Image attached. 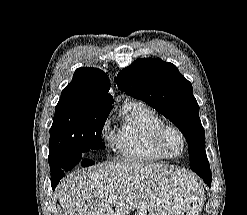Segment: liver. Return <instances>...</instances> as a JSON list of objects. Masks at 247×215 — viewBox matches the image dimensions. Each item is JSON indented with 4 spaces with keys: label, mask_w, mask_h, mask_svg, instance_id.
I'll return each instance as SVG.
<instances>
[{
    "label": "liver",
    "mask_w": 247,
    "mask_h": 215,
    "mask_svg": "<svg viewBox=\"0 0 247 215\" xmlns=\"http://www.w3.org/2000/svg\"><path fill=\"white\" fill-rule=\"evenodd\" d=\"M181 175L180 169L161 164L97 165L64 178L57 186V197L64 215H127L167 180ZM111 195L116 197L112 201Z\"/></svg>",
    "instance_id": "obj_1"
}]
</instances>
